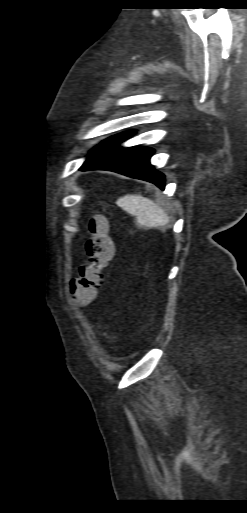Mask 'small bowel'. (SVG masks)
<instances>
[{
  "label": "small bowel",
  "instance_id": "1",
  "mask_svg": "<svg viewBox=\"0 0 247 513\" xmlns=\"http://www.w3.org/2000/svg\"><path fill=\"white\" fill-rule=\"evenodd\" d=\"M93 299H94V298H92L91 300H89V301H86V302H90V301H92Z\"/></svg>",
  "mask_w": 247,
  "mask_h": 513
}]
</instances>
